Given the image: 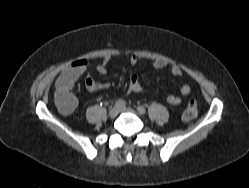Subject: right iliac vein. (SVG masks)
I'll use <instances>...</instances> for the list:
<instances>
[{"label": "right iliac vein", "instance_id": "1", "mask_svg": "<svg viewBox=\"0 0 249 188\" xmlns=\"http://www.w3.org/2000/svg\"><path fill=\"white\" fill-rule=\"evenodd\" d=\"M118 113H119V110H118V108L117 107H113V108H111L110 110H109V117L111 118V119H114L117 115H118Z\"/></svg>", "mask_w": 249, "mask_h": 188}]
</instances>
